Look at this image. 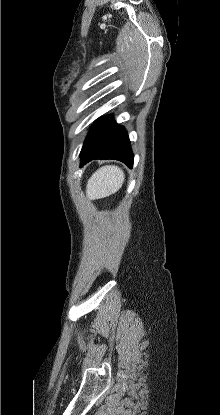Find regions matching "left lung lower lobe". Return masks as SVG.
Segmentation results:
<instances>
[{"label": "left lung lower lobe", "instance_id": "obj_1", "mask_svg": "<svg viewBox=\"0 0 220 415\" xmlns=\"http://www.w3.org/2000/svg\"><path fill=\"white\" fill-rule=\"evenodd\" d=\"M80 159V167L94 159H115L131 168L134 155L124 127L111 117L100 118L86 137Z\"/></svg>", "mask_w": 220, "mask_h": 415}]
</instances>
